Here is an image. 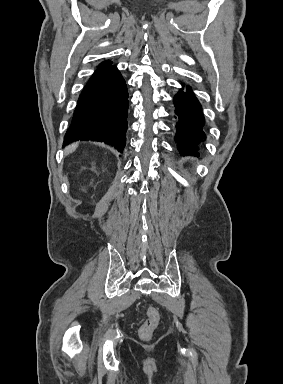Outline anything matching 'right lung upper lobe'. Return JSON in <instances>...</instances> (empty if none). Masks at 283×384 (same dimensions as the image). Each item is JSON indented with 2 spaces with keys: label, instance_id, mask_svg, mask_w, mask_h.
Returning a JSON list of instances; mask_svg holds the SVG:
<instances>
[{
  "label": "right lung upper lobe",
  "instance_id": "cb5924a9",
  "mask_svg": "<svg viewBox=\"0 0 283 384\" xmlns=\"http://www.w3.org/2000/svg\"><path fill=\"white\" fill-rule=\"evenodd\" d=\"M109 64H111V61H104L101 64H99V67L106 66V65H109Z\"/></svg>",
  "mask_w": 283,
  "mask_h": 384
}]
</instances>
